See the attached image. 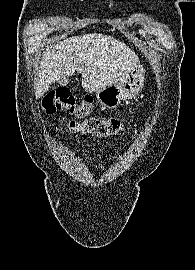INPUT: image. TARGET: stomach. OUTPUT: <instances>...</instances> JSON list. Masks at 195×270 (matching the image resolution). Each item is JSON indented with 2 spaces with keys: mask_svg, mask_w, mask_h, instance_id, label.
<instances>
[{
  "mask_svg": "<svg viewBox=\"0 0 195 270\" xmlns=\"http://www.w3.org/2000/svg\"><path fill=\"white\" fill-rule=\"evenodd\" d=\"M144 82V70L138 66L128 77L96 92L98 101L105 107L116 108L123 100L135 98Z\"/></svg>",
  "mask_w": 195,
  "mask_h": 270,
  "instance_id": "stomach-1",
  "label": "stomach"
}]
</instances>
